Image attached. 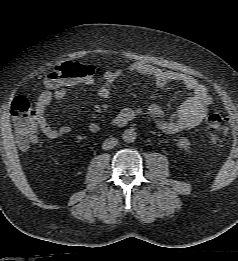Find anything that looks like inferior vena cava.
I'll return each instance as SVG.
<instances>
[{
    "label": "inferior vena cava",
    "instance_id": "obj_1",
    "mask_svg": "<svg viewBox=\"0 0 238 261\" xmlns=\"http://www.w3.org/2000/svg\"><path fill=\"white\" fill-rule=\"evenodd\" d=\"M118 143V140L116 138H108L106 139L103 144H102V148L104 150H109L112 149L116 146V144Z\"/></svg>",
    "mask_w": 238,
    "mask_h": 261
}]
</instances>
